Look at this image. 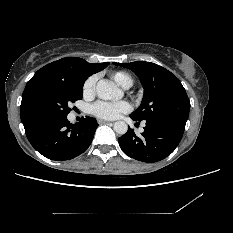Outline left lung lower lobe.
Listing matches in <instances>:
<instances>
[{"mask_svg": "<svg viewBox=\"0 0 233 233\" xmlns=\"http://www.w3.org/2000/svg\"><path fill=\"white\" fill-rule=\"evenodd\" d=\"M144 129L141 137L136 136L133 129H128L126 134L118 138V142L129 157L153 163L166 158L174 151L182 139L185 125L150 120L146 121Z\"/></svg>", "mask_w": 233, "mask_h": 233, "instance_id": "left-lung-lower-lobe-1", "label": "left lung lower lobe"}]
</instances>
